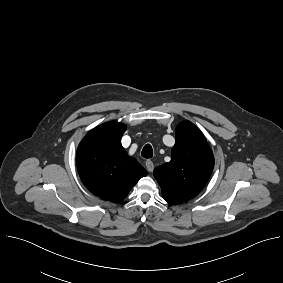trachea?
<instances>
[{
    "mask_svg": "<svg viewBox=\"0 0 283 283\" xmlns=\"http://www.w3.org/2000/svg\"><path fill=\"white\" fill-rule=\"evenodd\" d=\"M141 155L147 159L151 158L153 156L152 146L150 144H146L142 149Z\"/></svg>",
    "mask_w": 283,
    "mask_h": 283,
    "instance_id": "obj_1",
    "label": "trachea"
}]
</instances>
